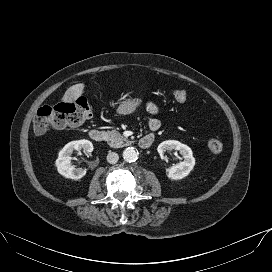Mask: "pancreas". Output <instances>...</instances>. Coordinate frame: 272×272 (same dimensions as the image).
I'll list each match as a JSON object with an SVG mask.
<instances>
[{
	"label": "pancreas",
	"instance_id": "obj_1",
	"mask_svg": "<svg viewBox=\"0 0 272 272\" xmlns=\"http://www.w3.org/2000/svg\"><path fill=\"white\" fill-rule=\"evenodd\" d=\"M105 140L108 145L114 148H120L123 147L125 143H129V141L116 130L105 132Z\"/></svg>",
	"mask_w": 272,
	"mask_h": 272
}]
</instances>
